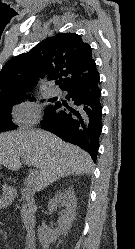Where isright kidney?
<instances>
[{"label":"right kidney","instance_id":"ca27d5eb","mask_svg":"<svg viewBox=\"0 0 135 249\" xmlns=\"http://www.w3.org/2000/svg\"><path fill=\"white\" fill-rule=\"evenodd\" d=\"M59 205L64 207V209L58 218V230L52 232L43 227L38 228L39 241L44 249H48L50 243L55 242L60 235L67 234L72 226L76 217L77 207V199L72 189L58 193L49 201L48 209L55 211Z\"/></svg>","mask_w":135,"mask_h":249}]
</instances>
